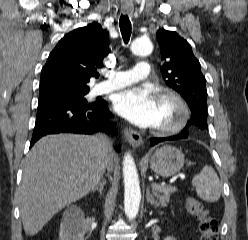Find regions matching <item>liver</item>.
Returning a JSON list of instances; mask_svg holds the SVG:
<instances>
[{
    "instance_id": "liver-1",
    "label": "liver",
    "mask_w": 248,
    "mask_h": 240,
    "mask_svg": "<svg viewBox=\"0 0 248 240\" xmlns=\"http://www.w3.org/2000/svg\"><path fill=\"white\" fill-rule=\"evenodd\" d=\"M113 158L103 135L41 138L23 163L19 200L25 233L36 235L56 213L87 195Z\"/></svg>"
}]
</instances>
